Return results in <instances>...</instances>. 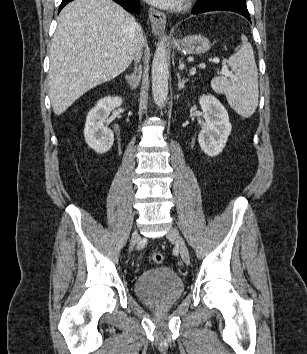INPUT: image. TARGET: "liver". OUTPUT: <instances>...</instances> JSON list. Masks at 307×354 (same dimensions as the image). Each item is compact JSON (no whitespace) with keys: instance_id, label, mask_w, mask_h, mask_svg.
Listing matches in <instances>:
<instances>
[{"instance_id":"6515ba94","label":"liver","mask_w":307,"mask_h":354,"mask_svg":"<svg viewBox=\"0 0 307 354\" xmlns=\"http://www.w3.org/2000/svg\"><path fill=\"white\" fill-rule=\"evenodd\" d=\"M57 22L48 77L53 112L61 115L87 91L125 71L143 34L134 17L112 0H74Z\"/></svg>"}]
</instances>
